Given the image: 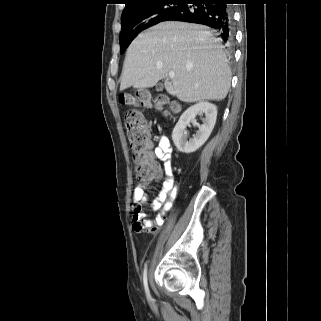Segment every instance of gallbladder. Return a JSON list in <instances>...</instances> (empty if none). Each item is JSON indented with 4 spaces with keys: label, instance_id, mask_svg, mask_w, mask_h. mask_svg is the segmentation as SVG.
<instances>
[{
    "label": "gallbladder",
    "instance_id": "1",
    "mask_svg": "<svg viewBox=\"0 0 321 321\" xmlns=\"http://www.w3.org/2000/svg\"><path fill=\"white\" fill-rule=\"evenodd\" d=\"M156 90H157V91H162V90H163V84L158 83V84L156 85Z\"/></svg>",
    "mask_w": 321,
    "mask_h": 321
}]
</instances>
